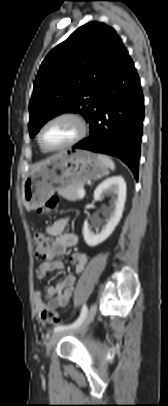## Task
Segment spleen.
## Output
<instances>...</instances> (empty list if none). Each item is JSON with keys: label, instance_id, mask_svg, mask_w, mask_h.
<instances>
[{"label": "spleen", "instance_id": "1", "mask_svg": "<svg viewBox=\"0 0 168 406\" xmlns=\"http://www.w3.org/2000/svg\"><path fill=\"white\" fill-rule=\"evenodd\" d=\"M98 157L102 160L111 170L115 169L114 162L106 155L99 154Z\"/></svg>", "mask_w": 168, "mask_h": 406}]
</instances>
